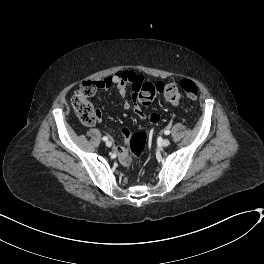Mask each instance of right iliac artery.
Masks as SVG:
<instances>
[{"mask_svg": "<svg viewBox=\"0 0 264 264\" xmlns=\"http://www.w3.org/2000/svg\"><path fill=\"white\" fill-rule=\"evenodd\" d=\"M102 140H103V141H107V140H108V137L104 136V137L102 138Z\"/></svg>", "mask_w": 264, "mask_h": 264, "instance_id": "82829eb1", "label": "right iliac artery"}]
</instances>
